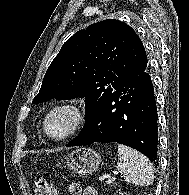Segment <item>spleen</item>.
Listing matches in <instances>:
<instances>
[{
    "instance_id": "1",
    "label": "spleen",
    "mask_w": 189,
    "mask_h": 195,
    "mask_svg": "<svg viewBox=\"0 0 189 195\" xmlns=\"http://www.w3.org/2000/svg\"><path fill=\"white\" fill-rule=\"evenodd\" d=\"M117 169L128 183L140 186L153 183V167L146 156L121 144L118 145Z\"/></svg>"
}]
</instances>
